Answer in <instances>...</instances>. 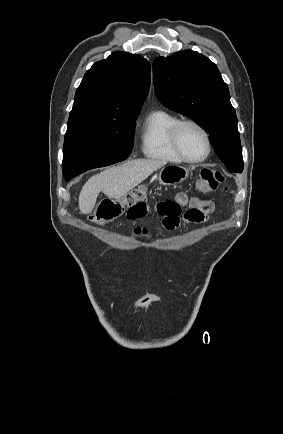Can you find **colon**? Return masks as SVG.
<instances>
[{
	"instance_id": "colon-1",
	"label": "colon",
	"mask_w": 283,
	"mask_h": 434,
	"mask_svg": "<svg viewBox=\"0 0 283 434\" xmlns=\"http://www.w3.org/2000/svg\"><path fill=\"white\" fill-rule=\"evenodd\" d=\"M224 181L225 178L220 171L206 168L200 173L199 185L202 190L212 192L218 189ZM146 195V187L138 186L120 199H103L90 219L97 224L112 221L122 215L125 210L143 201Z\"/></svg>"
}]
</instances>
